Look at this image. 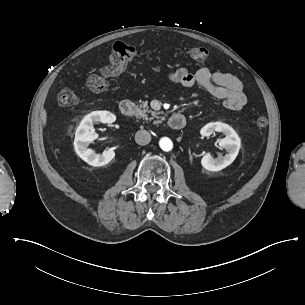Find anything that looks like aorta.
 <instances>
[{
  "label": "aorta",
  "instance_id": "obj_1",
  "mask_svg": "<svg viewBox=\"0 0 305 305\" xmlns=\"http://www.w3.org/2000/svg\"><path fill=\"white\" fill-rule=\"evenodd\" d=\"M159 146L163 151L168 152V151L172 150L173 143L169 138L163 137L159 141Z\"/></svg>",
  "mask_w": 305,
  "mask_h": 305
}]
</instances>
